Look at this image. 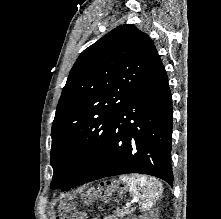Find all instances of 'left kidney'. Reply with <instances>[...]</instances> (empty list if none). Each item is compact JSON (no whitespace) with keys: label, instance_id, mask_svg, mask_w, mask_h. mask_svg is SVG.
Wrapping results in <instances>:
<instances>
[{"label":"left kidney","instance_id":"5707ae66","mask_svg":"<svg viewBox=\"0 0 221 219\" xmlns=\"http://www.w3.org/2000/svg\"><path fill=\"white\" fill-rule=\"evenodd\" d=\"M140 219H150V217H148V216H142ZM152 219H156V217L153 216Z\"/></svg>","mask_w":221,"mask_h":219}]
</instances>
